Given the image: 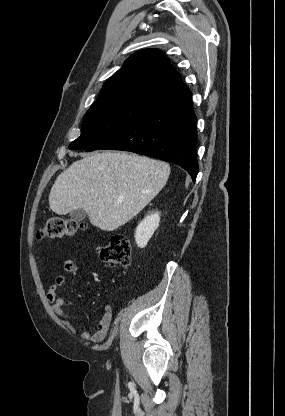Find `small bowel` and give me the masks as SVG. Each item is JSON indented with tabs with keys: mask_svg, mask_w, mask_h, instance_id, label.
<instances>
[{
	"mask_svg": "<svg viewBox=\"0 0 285 416\" xmlns=\"http://www.w3.org/2000/svg\"><path fill=\"white\" fill-rule=\"evenodd\" d=\"M66 276L59 275L54 279V282L49 286L46 292L48 301L52 304L51 308L60 324L68 329L71 333L75 334L77 331L71 322L69 314L66 312L64 306L65 301L63 298L57 295V288L62 286L66 281ZM113 318V308L111 305H106L103 310L102 317L98 323V329L96 332L91 333L90 331H83L81 338L85 341L93 343L102 342L109 331Z\"/></svg>",
	"mask_w": 285,
	"mask_h": 416,
	"instance_id": "1",
	"label": "small bowel"
}]
</instances>
